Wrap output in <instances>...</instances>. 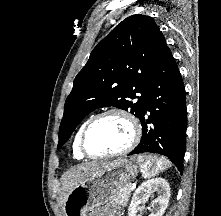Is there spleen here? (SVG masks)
Returning <instances> with one entry per match:
<instances>
[{"label": "spleen", "instance_id": "obj_1", "mask_svg": "<svg viewBox=\"0 0 221 216\" xmlns=\"http://www.w3.org/2000/svg\"><path fill=\"white\" fill-rule=\"evenodd\" d=\"M136 161L140 165L142 176L145 179L158 175L170 166L167 159L153 155H138Z\"/></svg>", "mask_w": 221, "mask_h": 216}]
</instances>
